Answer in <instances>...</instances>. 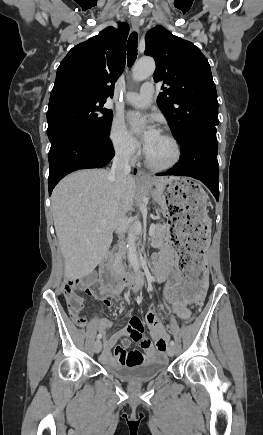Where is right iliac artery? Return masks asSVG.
<instances>
[{"label": "right iliac artery", "instance_id": "82829eb1", "mask_svg": "<svg viewBox=\"0 0 263 435\" xmlns=\"http://www.w3.org/2000/svg\"><path fill=\"white\" fill-rule=\"evenodd\" d=\"M101 337H102L101 334H98V335H97V340H100Z\"/></svg>", "mask_w": 263, "mask_h": 435}]
</instances>
